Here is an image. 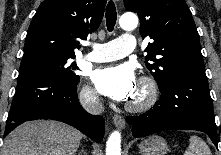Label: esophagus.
<instances>
[{"label":"esophagus","mask_w":221,"mask_h":155,"mask_svg":"<svg viewBox=\"0 0 221 155\" xmlns=\"http://www.w3.org/2000/svg\"><path fill=\"white\" fill-rule=\"evenodd\" d=\"M115 1L119 2V0H115ZM113 122L118 128L123 129L125 127V119L118 114H114Z\"/></svg>","instance_id":"obj_1"}]
</instances>
